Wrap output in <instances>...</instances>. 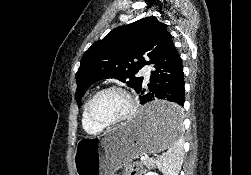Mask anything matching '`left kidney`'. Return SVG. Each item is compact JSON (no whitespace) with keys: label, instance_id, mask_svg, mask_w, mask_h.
Listing matches in <instances>:
<instances>
[{"label":"left kidney","instance_id":"left-kidney-1","mask_svg":"<svg viewBox=\"0 0 251 175\" xmlns=\"http://www.w3.org/2000/svg\"><path fill=\"white\" fill-rule=\"evenodd\" d=\"M145 175H159V173H156V171H147Z\"/></svg>","mask_w":251,"mask_h":175}]
</instances>
